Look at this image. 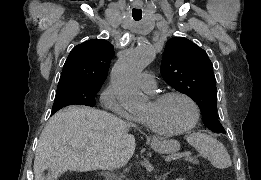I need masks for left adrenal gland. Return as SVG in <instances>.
Listing matches in <instances>:
<instances>
[{"label":"left adrenal gland","instance_id":"a2214340","mask_svg":"<svg viewBox=\"0 0 261 180\" xmlns=\"http://www.w3.org/2000/svg\"><path fill=\"white\" fill-rule=\"evenodd\" d=\"M168 174H169V172H168ZM168 174H163V176H162V180H166Z\"/></svg>","mask_w":261,"mask_h":180}]
</instances>
